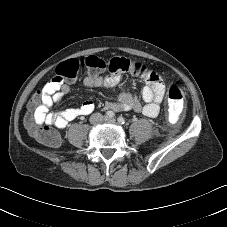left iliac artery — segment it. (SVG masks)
<instances>
[{"mask_svg":"<svg viewBox=\"0 0 227 227\" xmlns=\"http://www.w3.org/2000/svg\"><path fill=\"white\" fill-rule=\"evenodd\" d=\"M117 121H118V123H120V124H124V123H125V118H124V117H119V118L117 119Z\"/></svg>","mask_w":227,"mask_h":227,"instance_id":"left-iliac-artery-1","label":"left iliac artery"}]
</instances>
